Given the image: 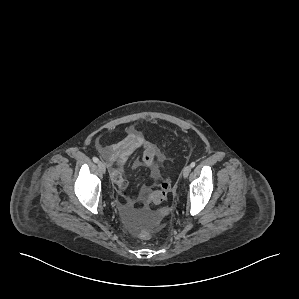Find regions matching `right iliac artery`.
I'll return each instance as SVG.
<instances>
[{
	"label": "right iliac artery",
	"instance_id": "right-iliac-artery-1",
	"mask_svg": "<svg viewBox=\"0 0 299 299\" xmlns=\"http://www.w3.org/2000/svg\"><path fill=\"white\" fill-rule=\"evenodd\" d=\"M93 161H94L95 163H98V162H99V159H98L97 157H94V158H93Z\"/></svg>",
	"mask_w": 299,
	"mask_h": 299
}]
</instances>
